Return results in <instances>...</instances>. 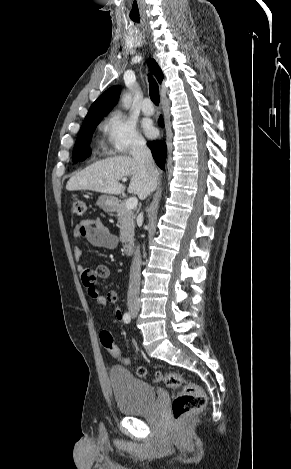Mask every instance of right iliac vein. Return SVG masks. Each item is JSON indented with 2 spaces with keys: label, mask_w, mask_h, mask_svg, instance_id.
Masks as SVG:
<instances>
[{
  "label": "right iliac vein",
  "mask_w": 291,
  "mask_h": 469,
  "mask_svg": "<svg viewBox=\"0 0 291 469\" xmlns=\"http://www.w3.org/2000/svg\"><path fill=\"white\" fill-rule=\"evenodd\" d=\"M129 310H130V313H131L132 315H135V314L137 313L138 308H137V307H134V306H131V307L129 308Z\"/></svg>",
  "instance_id": "right-iliac-vein-1"
}]
</instances>
